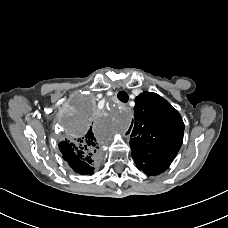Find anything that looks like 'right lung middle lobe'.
<instances>
[{
    "label": "right lung middle lobe",
    "mask_w": 228,
    "mask_h": 228,
    "mask_svg": "<svg viewBox=\"0 0 228 228\" xmlns=\"http://www.w3.org/2000/svg\"><path fill=\"white\" fill-rule=\"evenodd\" d=\"M76 118L78 121V131L88 128L93 119V111L88 101L81 99L77 105Z\"/></svg>",
    "instance_id": "1"
}]
</instances>
